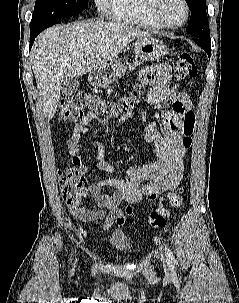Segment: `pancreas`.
Wrapping results in <instances>:
<instances>
[{"instance_id":"1","label":"pancreas","mask_w":239,"mask_h":303,"mask_svg":"<svg viewBox=\"0 0 239 303\" xmlns=\"http://www.w3.org/2000/svg\"><path fill=\"white\" fill-rule=\"evenodd\" d=\"M141 63L138 61H135L133 64L129 65V70H133L136 66L140 65Z\"/></svg>"}]
</instances>
